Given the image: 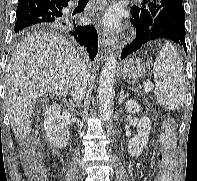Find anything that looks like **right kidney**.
<instances>
[{
	"instance_id": "1",
	"label": "right kidney",
	"mask_w": 197,
	"mask_h": 181,
	"mask_svg": "<svg viewBox=\"0 0 197 181\" xmlns=\"http://www.w3.org/2000/svg\"><path fill=\"white\" fill-rule=\"evenodd\" d=\"M60 112L61 104L53 103L45 110L44 117L45 137L58 149L65 148L69 140V129Z\"/></svg>"
}]
</instances>
